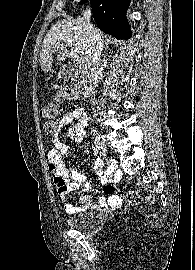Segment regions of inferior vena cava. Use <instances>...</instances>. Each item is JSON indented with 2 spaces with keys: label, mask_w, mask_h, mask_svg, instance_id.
Segmentation results:
<instances>
[{
  "label": "inferior vena cava",
  "mask_w": 195,
  "mask_h": 270,
  "mask_svg": "<svg viewBox=\"0 0 195 270\" xmlns=\"http://www.w3.org/2000/svg\"><path fill=\"white\" fill-rule=\"evenodd\" d=\"M91 10L86 9L83 13V19L86 23V30L88 33V50L86 52L85 60L89 68L93 87H97L99 82L103 79V63L101 59L103 42L94 27L90 24Z\"/></svg>",
  "instance_id": "602c4592"
}]
</instances>
